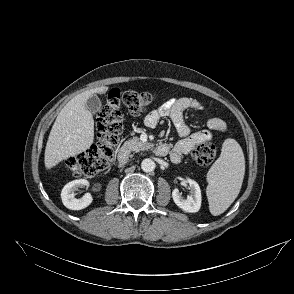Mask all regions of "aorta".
Masks as SVG:
<instances>
[{
	"instance_id": "aorta-1",
	"label": "aorta",
	"mask_w": 294,
	"mask_h": 294,
	"mask_svg": "<svg viewBox=\"0 0 294 294\" xmlns=\"http://www.w3.org/2000/svg\"><path fill=\"white\" fill-rule=\"evenodd\" d=\"M141 169L144 172H151L155 169V162L149 158H146L141 162Z\"/></svg>"
}]
</instances>
